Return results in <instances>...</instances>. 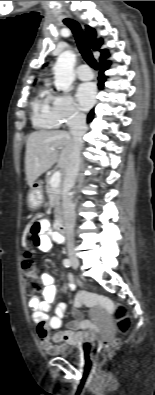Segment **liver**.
<instances>
[{
    "mask_svg": "<svg viewBox=\"0 0 155 395\" xmlns=\"http://www.w3.org/2000/svg\"><path fill=\"white\" fill-rule=\"evenodd\" d=\"M73 137L66 131H36L29 135L26 143L25 172L31 186L56 162L66 170L73 150ZM54 148L55 151L51 149ZM60 149L59 153L57 150Z\"/></svg>",
    "mask_w": 155,
    "mask_h": 395,
    "instance_id": "obj_1",
    "label": "liver"
}]
</instances>
